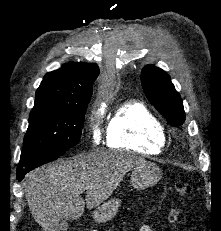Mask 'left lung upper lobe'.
Returning a JSON list of instances; mask_svg holds the SVG:
<instances>
[{
    "label": "left lung upper lobe",
    "mask_w": 221,
    "mask_h": 231,
    "mask_svg": "<svg viewBox=\"0 0 221 231\" xmlns=\"http://www.w3.org/2000/svg\"><path fill=\"white\" fill-rule=\"evenodd\" d=\"M141 83L148 100L171 125L180 126L184 123L185 112L181 97L166 72L146 65L141 71Z\"/></svg>",
    "instance_id": "1"
}]
</instances>
